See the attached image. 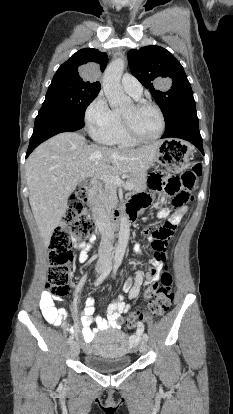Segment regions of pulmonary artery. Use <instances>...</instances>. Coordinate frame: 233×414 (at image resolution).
Masks as SVG:
<instances>
[{
  "label": "pulmonary artery",
  "mask_w": 233,
  "mask_h": 414,
  "mask_svg": "<svg viewBox=\"0 0 233 414\" xmlns=\"http://www.w3.org/2000/svg\"><path fill=\"white\" fill-rule=\"evenodd\" d=\"M123 90L134 98H140L143 92V87L136 77L130 73L123 75L121 80Z\"/></svg>",
  "instance_id": "obj_1"
}]
</instances>
